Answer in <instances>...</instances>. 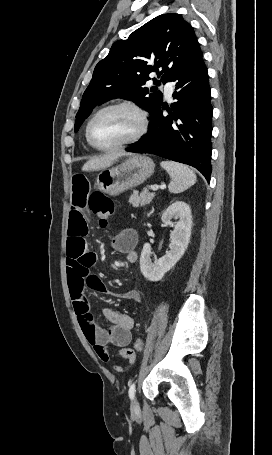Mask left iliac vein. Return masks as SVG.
<instances>
[{
    "label": "left iliac vein",
    "mask_w": 272,
    "mask_h": 455,
    "mask_svg": "<svg viewBox=\"0 0 272 455\" xmlns=\"http://www.w3.org/2000/svg\"><path fill=\"white\" fill-rule=\"evenodd\" d=\"M131 411L133 413H136L139 411V403L136 399H133L132 403H131Z\"/></svg>",
    "instance_id": "4c4485c4"
}]
</instances>
